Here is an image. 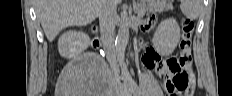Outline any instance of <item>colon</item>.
I'll return each mask as SVG.
<instances>
[{"mask_svg":"<svg viewBox=\"0 0 232 96\" xmlns=\"http://www.w3.org/2000/svg\"><path fill=\"white\" fill-rule=\"evenodd\" d=\"M194 23L190 19L182 20V37L179 55L165 61L164 68L165 89L170 96L191 95L190 77L186 71L191 63V43Z\"/></svg>","mask_w":232,"mask_h":96,"instance_id":"obj_1","label":"colon"}]
</instances>
